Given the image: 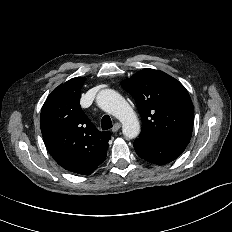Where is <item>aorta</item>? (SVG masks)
Returning <instances> with one entry per match:
<instances>
[{
	"mask_svg": "<svg viewBox=\"0 0 232 232\" xmlns=\"http://www.w3.org/2000/svg\"><path fill=\"white\" fill-rule=\"evenodd\" d=\"M97 105L122 123V132L128 139L140 133V124L129 103L115 90L103 89L96 97Z\"/></svg>",
	"mask_w": 232,
	"mask_h": 232,
	"instance_id": "1",
	"label": "aorta"
}]
</instances>
